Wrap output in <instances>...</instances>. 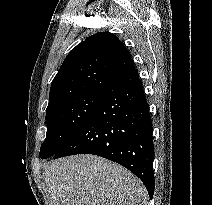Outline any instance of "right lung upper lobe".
Masks as SVG:
<instances>
[{
  "instance_id": "1",
  "label": "right lung upper lobe",
  "mask_w": 212,
  "mask_h": 205,
  "mask_svg": "<svg viewBox=\"0 0 212 205\" xmlns=\"http://www.w3.org/2000/svg\"><path fill=\"white\" fill-rule=\"evenodd\" d=\"M132 68L130 53L115 35L88 37L69 52L53 79L47 111L69 99L103 92Z\"/></svg>"
}]
</instances>
